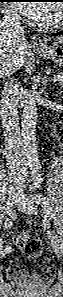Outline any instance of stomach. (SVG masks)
<instances>
[{
    "mask_svg": "<svg viewBox=\"0 0 63 297\" xmlns=\"http://www.w3.org/2000/svg\"><path fill=\"white\" fill-rule=\"evenodd\" d=\"M34 52L45 59H49L59 66H63V40L59 39L52 45L46 46L43 49H34Z\"/></svg>",
    "mask_w": 63,
    "mask_h": 297,
    "instance_id": "stomach-1",
    "label": "stomach"
}]
</instances>
